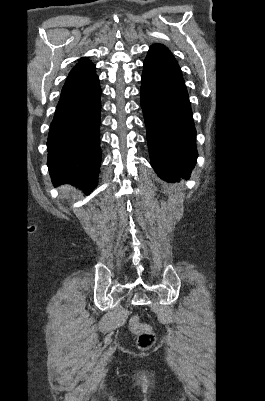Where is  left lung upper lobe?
<instances>
[{"label":"left lung upper lobe","instance_id":"obj_1","mask_svg":"<svg viewBox=\"0 0 265 401\" xmlns=\"http://www.w3.org/2000/svg\"><path fill=\"white\" fill-rule=\"evenodd\" d=\"M147 57H158L178 64L171 52L162 44H153Z\"/></svg>","mask_w":265,"mask_h":401}]
</instances>
